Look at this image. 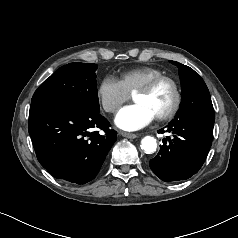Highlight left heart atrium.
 Segmentation results:
<instances>
[{
    "label": "left heart atrium",
    "mask_w": 238,
    "mask_h": 238,
    "mask_svg": "<svg viewBox=\"0 0 238 238\" xmlns=\"http://www.w3.org/2000/svg\"><path fill=\"white\" fill-rule=\"evenodd\" d=\"M155 114L144 104L134 103L123 107L115 117V124L122 130L142 129L155 119Z\"/></svg>",
    "instance_id": "39dd6f15"
}]
</instances>
